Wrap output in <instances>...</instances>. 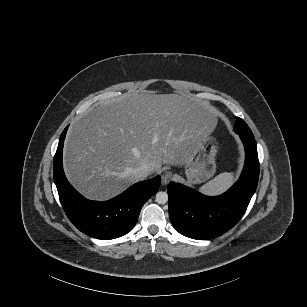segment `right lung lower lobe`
Masks as SVG:
<instances>
[{"mask_svg": "<svg viewBox=\"0 0 307 307\" xmlns=\"http://www.w3.org/2000/svg\"><path fill=\"white\" fill-rule=\"evenodd\" d=\"M67 128L60 136L53 164L54 181L67 217L76 228L94 238L108 240L127 234L136 224L144 203L158 191L160 176L138 182L109 201L85 199L69 184L63 171Z\"/></svg>", "mask_w": 307, "mask_h": 307, "instance_id": "right-lung-lower-lobe-1", "label": "right lung lower lobe"}]
</instances>
